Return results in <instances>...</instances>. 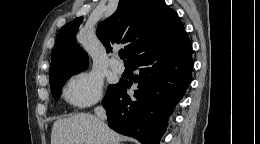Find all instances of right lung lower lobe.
Instances as JSON below:
<instances>
[{"label": "right lung lower lobe", "mask_w": 260, "mask_h": 144, "mask_svg": "<svg viewBox=\"0 0 260 144\" xmlns=\"http://www.w3.org/2000/svg\"><path fill=\"white\" fill-rule=\"evenodd\" d=\"M139 69L134 83L138 89L128 95L133 81L120 80L102 100L108 126L134 137L142 144H159L169 116L191 83L193 68L191 41L185 33L179 40L134 57Z\"/></svg>", "instance_id": "1"}]
</instances>
